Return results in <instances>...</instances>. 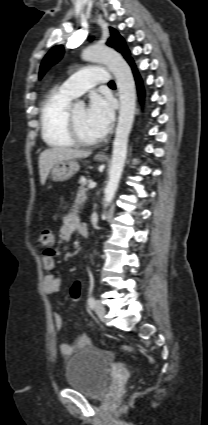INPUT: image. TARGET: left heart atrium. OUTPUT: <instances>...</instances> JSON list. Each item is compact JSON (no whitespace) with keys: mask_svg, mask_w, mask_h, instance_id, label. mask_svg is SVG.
Instances as JSON below:
<instances>
[{"mask_svg":"<svg viewBox=\"0 0 208 425\" xmlns=\"http://www.w3.org/2000/svg\"><path fill=\"white\" fill-rule=\"evenodd\" d=\"M113 116V109L108 99L99 95L91 97L86 110V120L98 137L104 136L109 131Z\"/></svg>","mask_w":208,"mask_h":425,"instance_id":"1","label":"left heart atrium"}]
</instances>
